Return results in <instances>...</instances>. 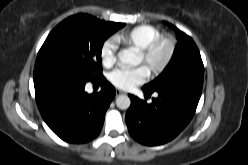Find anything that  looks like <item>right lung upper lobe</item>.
<instances>
[{
    "mask_svg": "<svg viewBox=\"0 0 248 165\" xmlns=\"http://www.w3.org/2000/svg\"><path fill=\"white\" fill-rule=\"evenodd\" d=\"M84 15L88 16L89 18H91V19H93V20H95V21H97V22H99V23H104V24H113V23H115V22H105V21L96 19L95 17L89 16V15H87V14H84Z\"/></svg>",
    "mask_w": 248,
    "mask_h": 165,
    "instance_id": "1",
    "label": "right lung upper lobe"
}]
</instances>
